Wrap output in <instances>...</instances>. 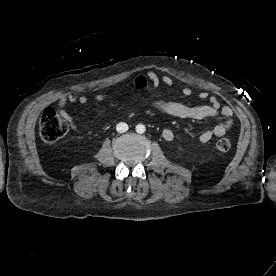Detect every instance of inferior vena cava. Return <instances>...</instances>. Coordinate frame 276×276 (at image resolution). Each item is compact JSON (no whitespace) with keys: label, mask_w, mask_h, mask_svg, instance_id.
<instances>
[{"label":"inferior vena cava","mask_w":276,"mask_h":276,"mask_svg":"<svg viewBox=\"0 0 276 276\" xmlns=\"http://www.w3.org/2000/svg\"><path fill=\"white\" fill-rule=\"evenodd\" d=\"M116 130L119 133H124L128 130V125L124 122H120L119 124H117Z\"/></svg>","instance_id":"1"}]
</instances>
